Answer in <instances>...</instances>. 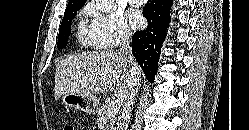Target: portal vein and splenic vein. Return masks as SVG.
<instances>
[{
	"label": "portal vein and splenic vein",
	"instance_id": "obj_1",
	"mask_svg": "<svg viewBox=\"0 0 249 130\" xmlns=\"http://www.w3.org/2000/svg\"><path fill=\"white\" fill-rule=\"evenodd\" d=\"M120 109V106L117 101H111V103L108 105L107 114L108 115H116Z\"/></svg>",
	"mask_w": 249,
	"mask_h": 130
}]
</instances>
